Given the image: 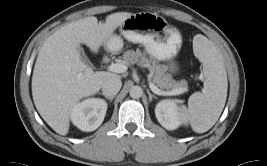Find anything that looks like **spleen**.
<instances>
[{"instance_id":"1","label":"spleen","mask_w":267,"mask_h":166,"mask_svg":"<svg viewBox=\"0 0 267 166\" xmlns=\"http://www.w3.org/2000/svg\"><path fill=\"white\" fill-rule=\"evenodd\" d=\"M193 49L203 65L204 88L190 96L188 107L178 108V115L181 123H189L196 133H204L217 122L225 106L227 74L221 54L209 39L196 35Z\"/></svg>"}]
</instances>
